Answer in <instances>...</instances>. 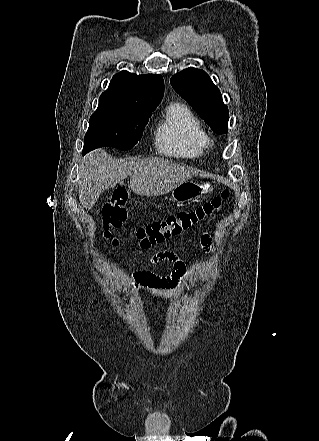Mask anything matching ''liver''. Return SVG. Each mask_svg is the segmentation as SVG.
<instances>
[{
  "label": "liver",
  "mask_w": 319,
  "mask_h": 441,
  "mask_svg": "<svg viewBox=\"0 0 319 441\" xmlns=\"http://www.w3.org/2000/svg\"><path fill=\"white\" fill-rule=\"evenodd\" d=\"M197 175V170L164 158L113 159L104 149L84 157L80 167L79 200L92 208L100 195L130 176V188L140 196L164 195Z\"/></svg>",
  "instance_id": "liver-1"
}]
</instances>
